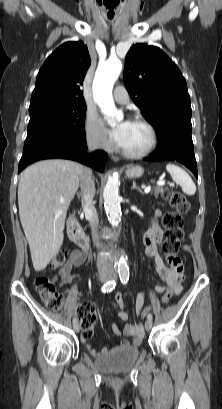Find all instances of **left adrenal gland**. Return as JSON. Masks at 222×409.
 Returning <instances> with one entry per match:
<instances>
[{
    "mask_svg": "<svg viewBox=\"0 0 222 409\" xmlns=\"http://www.w3.org/2000/svg\"><path fill=\"white\" fill-rule=\"evenodd\" d=\"M131 189H136V190H138L141 194H143L142 190L136 185V182H133V185H132Z\"/></svg>",
    "mask_w": 222,
    "mask_h": 409,
    "instance_id": "obj_1",
    "label": "left adrenal gland"
}]
</instances>
